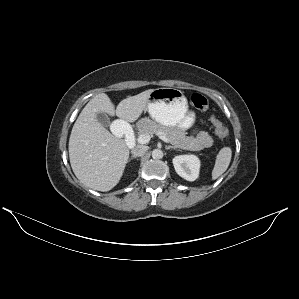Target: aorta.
<instances>
[{
    "instance_id": "1",
    "label": "aorta",
    "mask_w": 299,
    "mask_h": 299,
    "mask_svg": "<svg viewBox=\"0 0 299 299\" xmlns=\"http://www.w3.org/2000/svg\"><path fill=\"white\" fill-rule=\"evenodd\" d=\"M153 159H161L163 157V151L160 149H154L152 151Z\"/></svg>"
}]
</instances>
